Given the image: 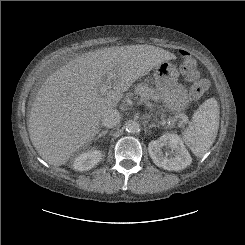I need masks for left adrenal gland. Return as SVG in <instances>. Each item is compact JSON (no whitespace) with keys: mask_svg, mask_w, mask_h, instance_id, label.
<instances>
[{"mask_svg":"<svg viewBox=\"0 0 245 245\" xmlns=\"http://www.w3.org/2000/svg\"><path fill=\"white\" fill-rule=\"evenodd\" d=\"M153 127H158V125H156L154 123L149 125V128H153Z\"/></svg>","mask_w":245,"mask_h":245,"instance_id":"obj_1","label":"left adrenal gland"}]
</instances>
